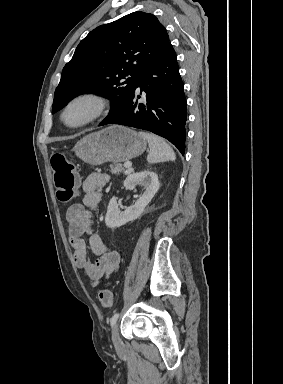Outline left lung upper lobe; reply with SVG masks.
I'll return each mask as SVG.
<instances>
[{"mask_svg": "<svg viewBox=\"0 0 283 384\" xmlns=\"http://www.w3.org/2000/svg\"><path fill=\"white\" fill-rule=\"evenodd\" d=\"M168 44L166 29L150 13L133 12L95 28L63 68L52 113L79 94L96 93L111 100L108 121L126 108L137 80Z\"/></svg>", "mask_w": 283, "mask_h": 384, "instance_id": "5c2ea615", "label": "left lung upper lobe"}]
</instances>
